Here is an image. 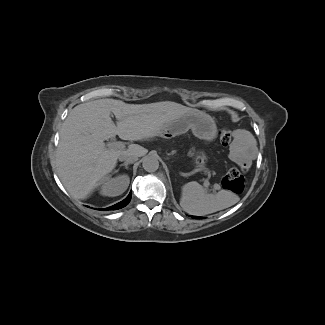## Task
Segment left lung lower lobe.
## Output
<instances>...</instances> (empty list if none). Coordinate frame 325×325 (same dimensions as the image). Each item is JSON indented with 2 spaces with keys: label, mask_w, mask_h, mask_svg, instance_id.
<instances>
[{
  "label": "left lung lower lobe",
  "mask_w": 325,
  "mask_h": 325,
  "mask_svg": "<svg viewBox=\"0 0 325 325\" xmlns=\"http://www.w3.org/2000/svg\"><path fill=\"white\" fill-rule=\"evenodd\" d=\"M195 219H202V217H198V216H192Z\"/></svg>",
  "instance_id": "obj_1"
}]
</instances>
